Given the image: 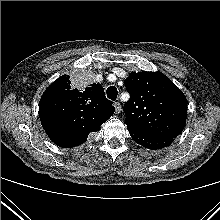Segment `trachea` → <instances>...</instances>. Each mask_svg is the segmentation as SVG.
Listing matches in <instances>:
<instances>
[{
    "label": "trachea",
    "instance_id": "trachea-1",
    "mask_svg": "<svg viewBox=\"0 0 220 220\" xmlns=\"http://www.w3.org/2000/svg\"><path fill=\"white\" fill-rule=\"evenodd\" d=\"M107 97L111 100H116L117 99V95H118V91L117 88L115 86H110L107 88Z\"/></svg>",
    "mask_w": 220,
    "mask_h": 220
}]
</instances>
